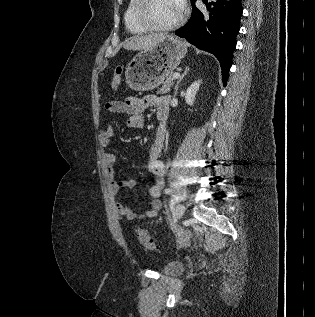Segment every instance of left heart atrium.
Wrapping results in <instances>:
<instances>
[{
    "mask_svg": "<svg viewBox=\"0 0 315 317\" xmlns=\"http://www.w3.org/2000/svg\"><path fill=\"white\" fill-rule=\"evenodd\" d=\"M177 2L179 3V6L182 8L183 7V0H177Z\"/></svg>",
    "mask_w": 315,
    "mask_h": 317,
    "instance_id": "obj_1",
    "label": "left heart atrium"
}]
</instances>
